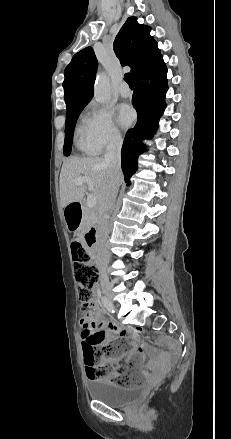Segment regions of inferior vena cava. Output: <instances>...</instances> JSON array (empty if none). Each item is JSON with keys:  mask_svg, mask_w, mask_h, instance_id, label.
<instances>
[{"mask_svg": "<svg viewBox=\"0 0 231 439\" xmlns=\"http://www.w3.org/2000/svg\"><path fill=\"white\" fill-rule=\"evenodd\" d=\"M121 147L122 139L120 136H114L106 147L104 155V161L108 165L110 170V185L103 202V210L105 211L103 218V226L105 228V234L108 232V215L107 212L112 208L122 179L121 171ZM106 235L103 240L97 245V264L102 265L109 260V252L105 244ZM102 278L107 279V275L102 273Z\"/></svg>", "mask_w": 231, "mask_h": 439, "instance_id": "obj_1", "label": "inferior vena cava"}]
</instances>
